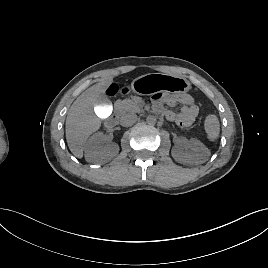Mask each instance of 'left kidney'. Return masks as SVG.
Masks as SVG:
<instances>
[{"label": "left kidney", "instance_id": "left-kidney-1", "mask_svg": "<svg viewBox=\"0 0 268 268\" xmlns=\"http://www.w3.org/2000/svg\"><path fill=\"white\" fill-rule=\"evenodd\" d=\"M190 148L189 150H187ZM173 158L183 164H199L205 162L210 152L206 146L195 138L177 140L171 150Z\"/></svg>", "mask_w": 268, "mask_h": 268}]
</instances>
